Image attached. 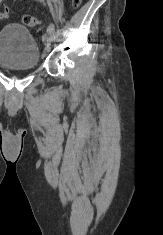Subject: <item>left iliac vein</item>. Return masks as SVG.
I'll list each match as a JSON object with an SVG mask.
<instances>
[{"instance_id": "left-iliac-vein-1", "label": "left iliac vein", "mask_w": 163, "mask_h": 235, "mask_svg": "<svg viewBox=\"0 0 163 235\" xmlns=\"http://www.w3.org/2000/svg\"><path fill=\"white\" fill-rule=\"evenodd\" d=\"M52 40V37L48 33L43 35V42L46 45L45 54L49 51Z\"/></svg>"}]
</instances>
